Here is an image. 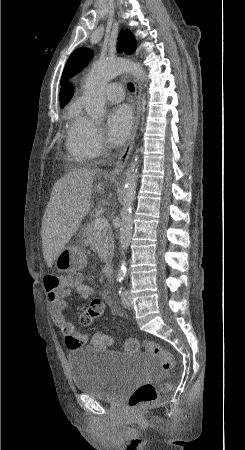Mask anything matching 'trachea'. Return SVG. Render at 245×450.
Listing matches in <instances>:
<instances>
[{"instance_id": "obj_1", "label": "trachea", "mask_w": 245, "mask_h": 450, "mask_svg": "<svg viewBox=\"0 0 245 450\" xmlns=\"http://www.w3.org/2000/svg\"><path fill=\"white\" fill-rule=\"evenodd\" d=\"M128 89H129L131 92H134V90H135L134 85H133L132 83H129V84H128Z\"/></svg>"}]
</instances>
